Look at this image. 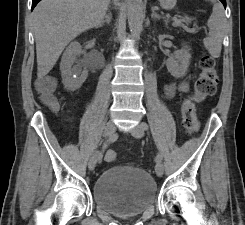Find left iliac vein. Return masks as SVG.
<instances>
[{"label": "left iliac vein", "mask_w": 245, "mask_h": 225, "mask_svg": "<svg viewBox=\"0 0 245 225\" xmlns=\"http://www.w3.org/2000/svg\"><path fill=\"white\" fill-rule=\"evenodd\" d=\"M131 134L135 138L143 137L144 129H143L142 125L138 124L137 126H135L132 129ZM155 172H156L157 176H159V177H161L164 174V166L161 162H157V164L155 166Z\"/></svg>", "instance_id": "1"}]
</instances>
